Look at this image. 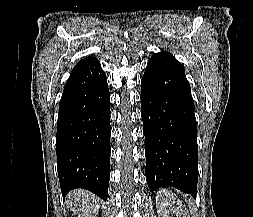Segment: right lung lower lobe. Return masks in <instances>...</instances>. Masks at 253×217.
<instances>
[{
    "label": "right lung lower lobe",
    "mask_w": 253,
    "mask_h": 217,
    "mask_svg": "<svg viewBox=\"0 0 253 217\" xmlns=\"http://www.w3.org/2000/svg\"><path fill=\"white\" fill-rule=\"evenodd\" d=\"M110 93L99 61L74 67L59 103L57 170L61 191L83 188L107 199Z\"/></svg>",
    "instance_id": "1"
}]
</instances>
